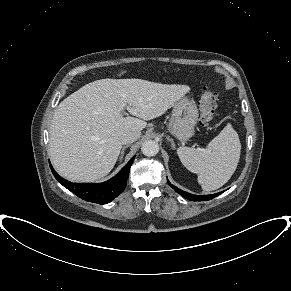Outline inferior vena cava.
Returning <instances> with one entry per match:
<instances>
[{"mask_svg": "<svg viewBox=\"0 0 291 291\" xmlns=\"http://www.w3.org/2000/svg\"><path fill=\"white\" fill-rule=\"evenodd\" d=\"M141 135L140 131H126L121 135L122 144H131L139 139Z\"/></svg>", "mask_w": 291, "mask_h": 291, "instance_id": "inferior-vena-cava-1", "label": "inferior vena cava"}]
</instances>
